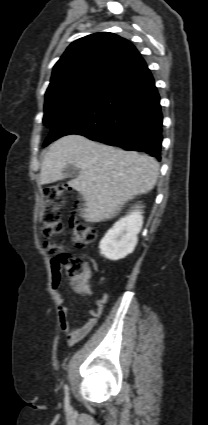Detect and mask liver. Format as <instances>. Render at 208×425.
Instances as JSON below:
<instances>
[{
  "label": "liver",
  "mask_w": 208,
  "mask_h": 425,
  "mask_svg": "<svg viewBox=\"0 0 208 425\" xmlns=\"http://www.w3.org/2000/svg\"><path fill=\"white\" fill-rule=\"evenodd\" d=\"M67 166L79 169V175L68 185L82 194L85 208L80 216L87 222L114 217L128 200L152 190L159 172V164L153 157L75 134L64 136L50 146L43 159L40 184L63 179Z\"/></svg>",
  "instance_id": "obj_1"
}]
</instances>
